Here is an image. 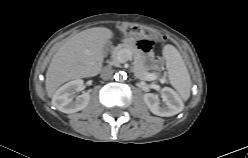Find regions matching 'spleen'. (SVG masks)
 Instances as JSON below:
<instances>
[{
    "label": "spleen",
    "mask_w": 248,
    "mask_h": 158,
    "mask_svg": "<svg viewBox=\"0 0 248 158\" xmlns=\"http://www.w3.org/2000/svg\"><path fill=\"white\" fill-rule=\"evenodd\" d=\"M165 56L170 83L176 89L180 98L183 101H187L190 93L191 80L182 57L173 46L167 47Z\"/></svg>",
    "instance_id": "3e777b00"
}]
</instances>
